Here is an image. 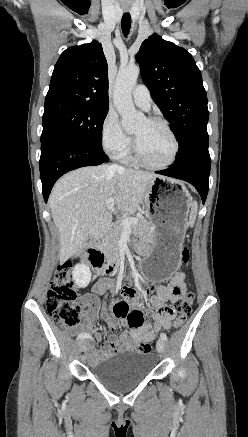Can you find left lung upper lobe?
I'll list each match as a JSON object with an SVG mask.
<instances>
[{
    "instance_id": "1",
    "label": "left lung upper lobe",
    "mask_w": 248,
    "mask_h": 437,
    "mask_svg": "<svg viewBox=\"0 0 248 437\" xmlns=\"http://www.w3.org/2000/svg\"><path fill=\"white\" fill-rule=\"evenodd\" d=\"M142 80L179 144L176 157L208 135L209 112L202 77L193 57L185 49L153 34L136 54Z\"/></svg>"
}]
</instances>
